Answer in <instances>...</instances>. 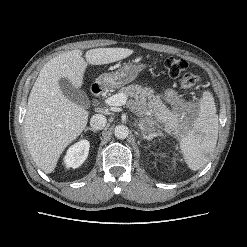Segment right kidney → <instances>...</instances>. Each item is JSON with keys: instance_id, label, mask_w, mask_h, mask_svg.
<instances>
[{"instance_id": "obj_1", "label": "right kidney", "mask_w": 247, "mask_h": 247, "mask_svg": "<svg viewBox=\"0 0 247 247\" xmlns=\"http://www.w3.org/2000/svg\"><path fill=\"white\" fill-rule=\"evenodd\" d=\"M90 143L88 140H81L72 145L64 157V164L67 168H78L87 159Z\"/></svg>"}]
</instances>
